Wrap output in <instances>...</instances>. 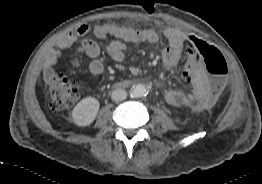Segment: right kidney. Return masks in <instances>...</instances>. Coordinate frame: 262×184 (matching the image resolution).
<instances>
[{
  "mask_svg": "<svg viewBox=\"0 0 262 184\" xmlns=\"http://www.w3.org/2000/svg\"><path fill=\"white\" fill-rule=\"evenodd\" d=\"M100 103L93 97L82 99L73 109L72 118L78 126L90 125L97 116Z\"/></svg>",
  "mask_w": 262,
  "mask_h": 184,
  "instance_id": "right-kidney-1",
  "label": "right kidney"
}]
</instances>
